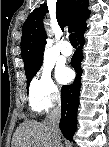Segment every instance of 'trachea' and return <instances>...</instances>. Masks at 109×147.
Here are the masks:
<instances>
[{
  "mask_svg": "<svg viewBox=\"0 0 109 147\" xmlns=\"http://www.w3.org/2000/svg\"><path fill=\"white\" fill-rule=\"evenodd\" d=\"M69 40H70L72 46H77V39H76V35L74 33L70 34Z\"/></svg>",
  "mask_w": 109,
  "mask_h": 147,
  "instance_id": "trachea-1",
  "label": "trachea"
}]
</instances>
